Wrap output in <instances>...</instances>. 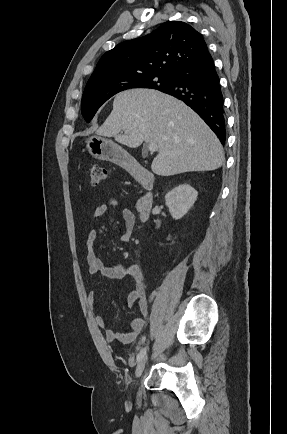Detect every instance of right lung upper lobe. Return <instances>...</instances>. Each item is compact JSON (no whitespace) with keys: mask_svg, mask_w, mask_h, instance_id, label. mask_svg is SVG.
I'll return each mask as SVG.
<instances>
[{"mask_svg":"<svg viewBox=\"0 0 287 434\" xmlns=\"http://www.w3.org/2000/svg\"><path fill=\"white\" fill-rule=\"evenodd\" d=\"M207 55V45L198 31L185 22L169 21L146 36L107 51L88 82L146 74L176 77Z\"/></svg>","mask_w":287,"mask_h":434,"instance_id":"cb5924a9","label":"right lung upper lobe"}]
</instances>
